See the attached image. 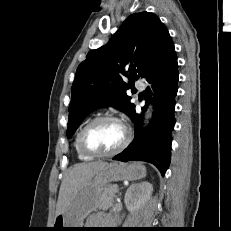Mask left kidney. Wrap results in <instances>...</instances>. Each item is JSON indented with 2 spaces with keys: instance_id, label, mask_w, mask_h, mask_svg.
<instances>
[{
  "instance_id": "1",
  "label": "left kidney",
  "mask_w": 231,
  "mask_h": 231,
  "mask_svg": "<svg viewBox=\"0 0 231 231\" xmlns=\"http://www.w3.org/2000/svg\"><path fill=\"white\" fill-rule=\"evenodd\" d=\"M153 186L149 182H141L131 185L126 193L124 202L130 212L139 210L147 202L152 194Z\"/></svg>"
}]
</instances>
